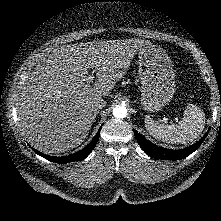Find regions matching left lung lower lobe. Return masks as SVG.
I'll return each instance as SVG.
<instances>
[{"label": "left lung lower lobe", "mask_w": 221, "mask_h": 221, "mask_svg": "<svg viewBox=\"0 0 221 221\" xmlns=\"http://www.w3.org/2000/svg\"><path fill=\"white\" fill-rule=\"evenodd\" d=\"M208 132L194 145L188 148L179 149V150H170L162 147H158L141 136L137 131L134 130V135L141 146V148L152 158L155 159H164V160H179L189 156L202 144L203 140L206 138Z\"/></svg>", "instance_id": "obj_1"}]
</instances>
